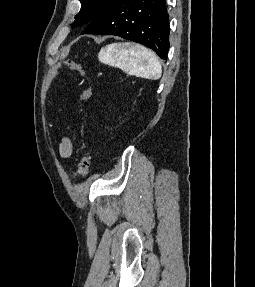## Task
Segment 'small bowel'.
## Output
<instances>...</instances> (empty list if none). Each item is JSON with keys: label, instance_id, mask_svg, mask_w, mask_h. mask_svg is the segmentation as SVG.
Here are the masks:
<instances>
[{"label": "small bowel", "instance_id": "small-bowel-1", "mask_svg": "<svg viewBox=\"0 0 255 287\" xmlns=\"http://www.w3.org/2000/svg\"><path fill=\"white\" fill-rule=\"evenodd\" d=\"M74 148V138L63 137L59 144V155L63 159H67L72 155Z\"/></svg>", "mask_w": 255, "mask_h": 287}]
</instances>
